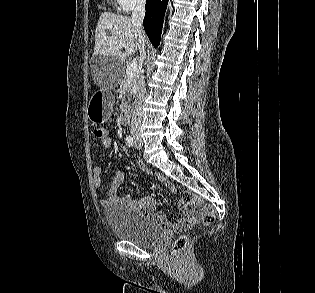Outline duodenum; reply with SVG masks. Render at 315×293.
Masks as SVG:
<instances>
[{"mask_svg":"<svg viewBox=\"0 0 315 293\" xmlns=\"http://www.w3.org/2000/svg\"><path fill=\"white\" fill-rule=\"evenodd\" d=\"M131 112L129 106H123L121 110L120 119L123 124H128L130 122Z\"/></svg>","mask_w":315,"mask_h":293,"instance_id":"obj_1","label":"duodenum"}]
</instances>
